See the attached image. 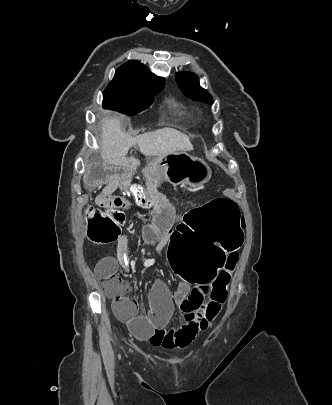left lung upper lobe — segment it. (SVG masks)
<instances>
[{"mask_svg": "<svg viewBox=\"0 0 332 405\" xmlns=\"http://www.w3.org/2000/svg\"><path fill=\"white\" fill-rule=\"evenodd\" d=\"M176 80L181 91L193 100L213 104L212 96L199 85L198 78L191 73H178Z\"/></svg>", "mask_w": 332, "mask_h": 405, "instance_id": "left-lung-upper-lobe-1", "label": "left lung upper lobe"}]
</instances>
